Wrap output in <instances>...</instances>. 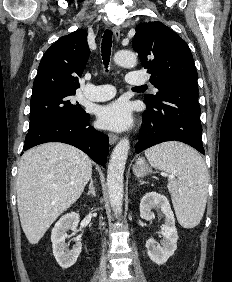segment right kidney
Instances as JSON below:
<instances>
[{
	"label": "right kidney",
	"instance_id": "ca27d5eb",
	"mask_svg": "<svg viewBox=\"0 0 232 282\" xmlns=\"http://www.w3.org/2000/svg\"><path fill=\"white\" fill-rule=\"evenodd\" d=\"M78 223L79 214L72 212L63 215L52 229L51 241L53 255L63 269L74 265L81 253L82 244L80 241H77L71 250L67 248V244L65 243V239L68 237L67 231H75Z\"/></svg>",
	"mask_w": 232,
	"mask_h": 282
}]
</instances>
